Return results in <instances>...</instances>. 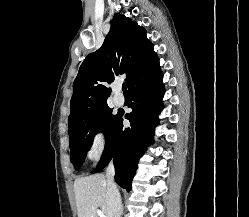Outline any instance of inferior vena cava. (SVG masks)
Instances as JSON below:
<instances>
[{
	"label": "inferior vena cava",
	"mask_w": 249,
	"mask_h": 217,
	"mask_svg": "<svg viewBox=\"0 0 249 217\" xmlns=\"http://www.w3.org/2000/svg\"><path fill=\"white\" fill-rule=\"evenodd\" d=\"M115 169L113 163H110L106 169L107 190L106 201L109 211V217H121L122 204L118 189L114 183Z\"/></svg>",
	"instance_id": "1"
}]
</instances>
